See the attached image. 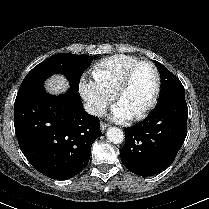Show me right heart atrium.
Returning <instances> with one entry per match:
<instances>
[{"instance_id":"obj_1","label":"right heart atrium","mask_w":209,"mask_h":209,"mask_svg":"<svg viewBox=\"0 0 209 209\" xmlns=\"http://www.w3.org/2000/svg\"><path fill=\"white\" fill-rule=\"evenodd\" d=\"M79 89L89 111L96 116L103 114L114 99V93L107 90L95 79L82 77Z\"/></svg>"}]
</instances>
